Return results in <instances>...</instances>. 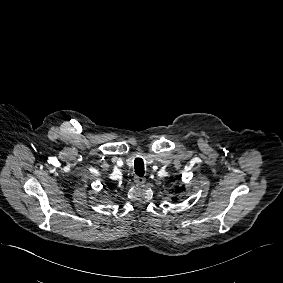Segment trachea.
<instances>
[{
    "instance_id": "trachea-1",
    "label": "trachea",
    "mask_w": 283,
    "mask_h": 283,
    "mask_svg": "<svg viewBox=\"0 0 283 283\" xmlns=\"http://www.w3.org/2000/svg\"><path fill=\"white\" fill-rule=\"evenodd\" d=\"M134 169H135V173L142 177L144 176V162L141 158H136L134 161Z\"/></svg>"
}]
</instances>
